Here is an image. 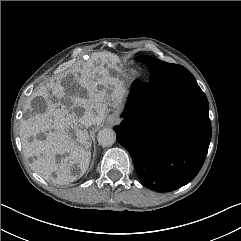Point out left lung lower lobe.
I'll list each match as a JSON object with an SVG mask.
<instances>
[{
	"label": "left lung lower lobe",
	"instance_id": "1",
	"mask_svg": "<svg viewBox=\"0 0 241 241\" xmlns=\"http://www.w3.org/2000/svg\"><path fill=\"white\" fill-rule=\"evenodd\" d=\"M122 116L113 129L145 186L169 192L196 177L211 140L209 104L198 85L172 94L165 76L151 72L149 82H133Z\"/></svg>",
	"mask_w": 241,
	"mask_h": 241
}]
</instances>
